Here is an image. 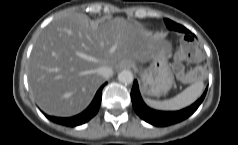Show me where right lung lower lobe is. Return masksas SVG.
<instances>
[{"label":"right lung lower lobe","mask_w":238,"mask_h":145,"mask_svg":"<svg viewBox=\"0 0 238 145\" xmlns=\"http://www.w3.org/2000/svg\"><path fill=\"white\" fill-rule=\"evenodd\" d=\"M105 84H103L99 88V90L97 91L89 107L81 114L76 115L74 117H70V118H60V117L47 116V115L46 117L57 124H61L64 126H69V127H75V126L86 123L92 117H94L99 110L100 103H101L102 89L105 86Z\"/></svg>","instance_id":"98d812e1"}]
</instances>
